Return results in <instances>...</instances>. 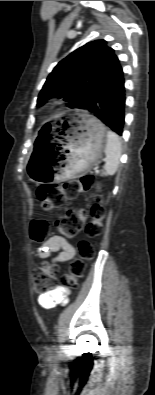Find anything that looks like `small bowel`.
<instances>
[{
	"label": "small bowel",
	"mask_w": 155,
	"mask_h": 395,
	"mask_svg": "<svg viewBox=\"0 0 155 395\" xmlns=\"http://www.w3.org/2000/svg\"><path fill=\"white\" fill-rule=\"evenodd\" d=\"M57 253L52 258V262H67L74 258L76 254L75 248L63 237L54 235L48 238L37 250L40 259H46L51 254ZM69 290L58 286L46 293H42L38 297V304L45 308L51 309L59 304H65L68 301Z\"/></svg>",
	"instance_id": "small-bowel-1"
}]
</instances>
